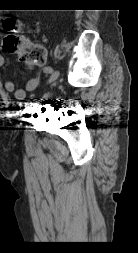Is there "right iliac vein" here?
Masks as SVG:
<instances>
[{
    "instance_id": "63e3f726",
    "label": "right iliac vein",
    "mask_w": 138,
    "mask_h": 253,
    "mask_svg": "<svg viewBox=\"0 0 138 253\" xmlns=\"http://www.w3.org/2000/svg\"><path fill=\"white\" fill-rule=\"evenodd\" d=\"M58 77V73L57 72H54L48 79V82H53L54 80H56Z\"/></svg>"
}]
</instances>
